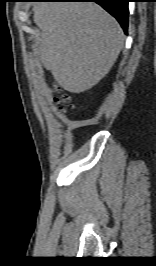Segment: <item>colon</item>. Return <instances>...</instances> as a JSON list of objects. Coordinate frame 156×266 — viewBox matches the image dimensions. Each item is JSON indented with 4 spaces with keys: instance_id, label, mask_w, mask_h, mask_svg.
<instances>
[{
    "instance_id": "5ec220e1",
    "label": "colon",
    "mask_w": 156,
    "mask_h": 266,
    "mask_svg": "<svg viewBox=\"0 0 156 266\" xmlns=\"http://www.w3.org/2000/svg\"><path fill=\"white\" fill-rule=\"evenodd\" d=\"M54 91L56 92L54 101L58 104L59 108H61L62 110H65L71 106L70 97L67 94L63 93L60 87L55 86Z\"/></svg>"
}]
</instances>
